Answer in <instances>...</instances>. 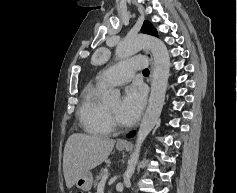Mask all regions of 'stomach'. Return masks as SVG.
<instances>
[{
	"label": "stomach",
	"instance_id": "0dacf381",
	"mask_svg": "<svg viewBox=\"0 0 237 193\" xmlns=\"http://www.w3.org/2000/svg\"><path fill=\"white\" fill-rule=\"evenodd\" d=\"M117 150L123 151L125 149V146H116ZM76 186L83 190V191H88L91 189L92 184H93V176L90 171H86L77 181H76Z\"/></svg>",
	"mask_w": 237,
	"mask_h": 193
}]
</instances>
